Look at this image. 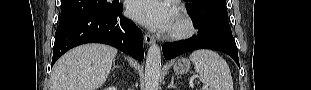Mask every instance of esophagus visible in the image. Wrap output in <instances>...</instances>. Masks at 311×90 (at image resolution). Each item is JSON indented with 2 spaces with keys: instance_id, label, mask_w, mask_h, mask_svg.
<instances>
[{
  "instance_id": "esophagus-1",
  "label": "esophagus",
  "mask_w": 311,
  "mask_h": 90,
  "mask_svg": "<svg viewBox=\"0 0 311 90\" xmlns=\"http://www.w3.org/2000/svg\"><path fill=\"white\" fill-rule=\"evenodd\" d=\"M144 40L147 44L151 45L155 42V39L153 36H151L150 34H144Z\"/></svg>"
}]
</instances>
